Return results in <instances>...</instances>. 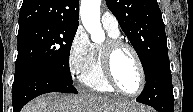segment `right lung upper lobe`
Instances as JSON below:
<instances>
[{
	"instance_id": "right-lung-upper-lobe-1",
	"label": "right lung upper lobe",
	"mask_w": 193,
	"mask_h": 112,
	"mask_svg": "<svg viewBox=\"0 0 193 112\" xmlns=\"http://www.w3.org/2000/svg\"><path fill=\"white\" fill-rule=\"evenodd\" d=\"M79 0H23L19 29L36 24L78 26Z\"/></svg>"
}]
</instances>
